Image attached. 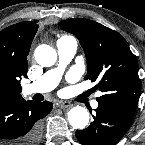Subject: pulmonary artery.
Returning a JSON list of instances; mask_svg holds the SVG:
<instances>
[{"instance_id": "1", "label": "pulmonary artery", "mask_w": 145, "mask_h": 145, "mask_svg": "<svg viewBox=\"0 0 145 145\" xmlns=\"http://www.w3.org/2000/svg\"><path fill=\"white\" fill-rule=\"evenodd\" d=\"M56 46L59 57L57 67L46 72L38 81L25 85L22 90L24 95L49 92L59 83L65 66L76 54L78 44L75 38L65 37L59 39ZM91 106L93 108H97L98 102L93 100L91 102Z\"/></svg>"}]
</instances>
